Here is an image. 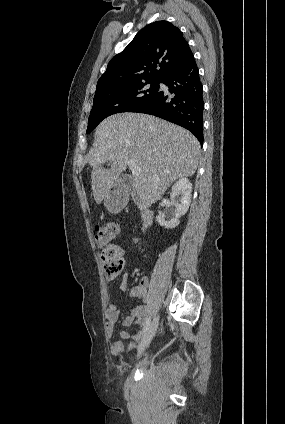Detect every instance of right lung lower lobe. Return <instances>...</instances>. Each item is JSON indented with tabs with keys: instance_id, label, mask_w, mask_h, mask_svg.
Segmentation results:
<instances>
[{
	"instance_id": "obj_1",
	"label": "right lung lower lobe",
	"mask_w": 285,
	"mask_h": 424,
	"mask_svg": "<svg viewBox=\"0 0 285 424\" xmlns=\"http://www.w3.org/2000/svg\"><path fill=\"white\" fill-rule=\"evenodd\" d=\"M170 94L158 91L129 112L154 115L188 129L203 144V87L195 60L161 80Z\"/></svg>"
}]
</instances>
